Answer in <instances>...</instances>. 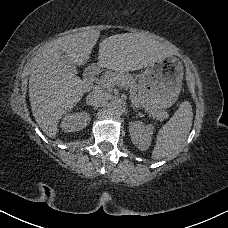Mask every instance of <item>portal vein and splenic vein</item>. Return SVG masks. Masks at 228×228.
<instances>
[{
    "instance_id": "18ae733b",
    "label": "portal vein and splenic vein",
    "mask_w": 228,
    "mask_h": 228,
    "mask_svg": "<svg viewBox=\"0 0 228 228\" xmlns=\"http://www.w3.org/2000/svg\"><path fill=\"white\" fill-rule=\"evenodd\" d=\"M104 87L108 90L112 89L113 88V84H112V81L111 80H102V79H99L97 81V85L95 86V89H99V87ZM130 101L132 100L131 98L129 99ZM133 103L135 102L134 100L132 101ZM135 105L137 104L136 102L134 103ZM137 108L139 107L138 105L136 106ZM138 112L141 113L142 116H145V117H148L149 116V113L148 112H145L143 111L142 108H139L138 109ZM149 120L150 121H153L154 120V117L153 116H150L149 117Z\"/></svg>"
}]
</instances>
